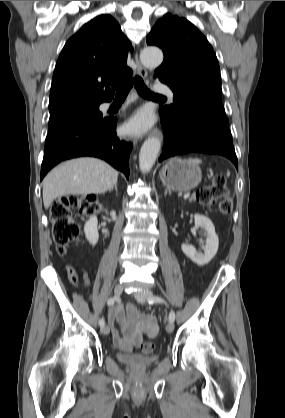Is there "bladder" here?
I'll return each mask as SVG.
<instances>
[{
	"label": "bladder",
	"instance_id": "31cf9c89",
	"mask_svg": "<svg viewBox=\"0 0 285 418\" xmlns=\"http://www.w3.org/2000/svg\"><path fill=\"white\" fill-rule=\"evenodd\" d=\"M118 360L132 367H147L153 364L157 358L153 353H138L136 351H118Z\"/></svg>",
	"mask_w": 285,
	"mask_h": 418
}]
</instances>
